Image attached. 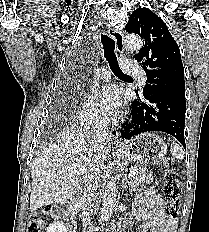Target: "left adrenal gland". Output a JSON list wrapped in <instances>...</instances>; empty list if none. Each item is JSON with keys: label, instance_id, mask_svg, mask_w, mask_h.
Instances as JSON below:
<instances>
[{"label": "left adrenal gland", "instance_id": "1", "mask_svg": "<svg viewBox=\"0 0 209 232\" xmlns=\"http://www.w3.org/2000/svg\"><path fill=\"white\" fill-rule=\"evenodd\" d=\"M127 183H129V181H128L127 175L125 174L124 178L122 180V188L123 189L125 188V186H126Z\"/></svg>", "mask_w": 209, "mask_h": 232}]
</instances>
